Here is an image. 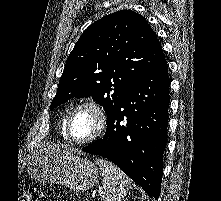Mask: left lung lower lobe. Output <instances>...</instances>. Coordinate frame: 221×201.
Instances as JSON below:
<instances>
[{"mask_svg": "<svg viewBox=\"0 0 221 201\" xmlns=\"http://www.w3.org/2000/svg\"><path fill=\"white\" fill-rule=\"evenodd\" d=\"M169 86L164 59L115 108L104 138L82 149L115 163L156 199L161 190L167 142Z\"/></svg>", "mask_w": 221, "mask_h": 201, "instance_id": "obj_1", "label": "left lung lower lobe"}]
</instances>
